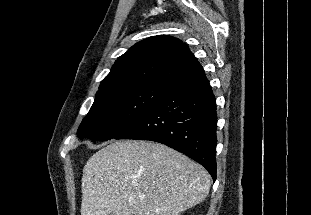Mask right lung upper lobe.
I'll return each mask as SVG.
<instances>
[{
  "label": "right lung upper lobe",
  "mask_w": 311,
  "mask_h": 215,
  "mask_svg": "<svg viewBox=\"0 0 311 215\" xmlns=\"http://www.w3.org/2000/svg\"><path fill=\"white\" fill-rule=\"evenodd\" d=\"M200 67L186 43L169 35H158L136 43L120 56L101 81L99 91L125 84H171Z\"/></svg>",
  "instance_id": "right-lung-upper-lobe-1"
}]
</instances>
